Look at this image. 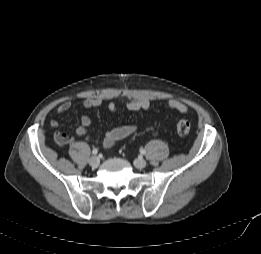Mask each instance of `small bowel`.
Instances as JSON below:
<instances>
[{
	"label": "small bowel",
	"instance_id": "c3829d8e",
	"mask_svg": "<svg viewBox=\"0 0 261 254\" xmlns=\"http://www.w3.org/2000/svg\"><path fill=\"white\" fill-rule=\"evenodd\" d=\"M103 100L99 97H88L85 98L82 101V106L84 108H93V107H98L102 105ZM164 105L167 108L176 110L180 113H187L188 112V107L186 104L177 101V100H167L165 101ZM72 106V103L70 101H64L61 103L57 109L56 112L58 115H62L66 113ZM152 107V103L148 99H137V100H132L127 103V108L131 111H141V110H149ZM118 106L115 101H110L107 104V109L110 112H115L117 110ZM50 125L54 128L59 127V123L55 120H52L50 122ZM91 125V118L84 114L80 118V125L76 128V134L78 136L84 137L87 141L90 140L89 132H88V127ZM137 131V127L133 125H125V126H119L112 128L108 130L105 133L104 138L100 141V143L105 147V148H110L112 147L116 142L130 136L131 134L135 133ZM56 138L61 142V143H71L73 142V138L66 136L65 134L61 132H57Z\"/></svg>",
	"mask_w": 261,
	"mask_h": 254
}]
</instances>
